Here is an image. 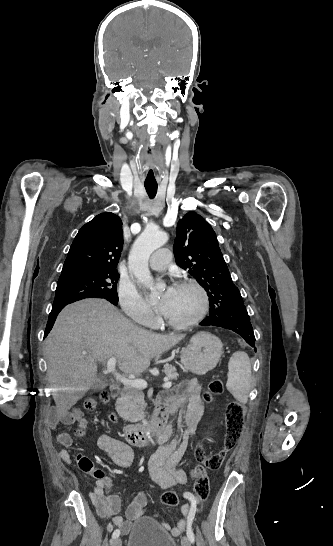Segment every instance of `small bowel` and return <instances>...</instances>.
I'll list each match as a JSON object with an SVG mask.
<instances>
[{"mask_svg":"<svg viewBox=\"0 0 333 546\" xmlns=\"http://www.w3.org/2000/svg\"><path fill=\"white\" fill-rule=\"evenodd\" d=\"M238 344L241 346L243 343L240 341ZM201 392V382L198 379H191L179 384L174 393L161 394L157 399V415H162L167 419L180 410L177 436L171 439L172 423L169 422L165 435L158 440L161 447L149 463L151 479L162 488L186 483V474L178 468V463L192 442L195 427L204 411ZM58 421L66 424L77 421L84 429L88 426L79 410L52 416L51 425L55 426ZM57 441L62 446L58 451L60 459L67 464H71V455L67 451L73 444L71 436L65 432H59L57 433ZM98 446L117 466L129 468L132 465L134 452L127 443L110 435H103L98 439ZM75 460L82 471L90 473L96 478L90 499L98 515L101 518L112 517L113 524L119 527L123 533H127L131 522H136L143 516L148 503L146 493L141 491L134 497L126 509V519H124L122 516L117 515L120 511L121 502L118 496L108 491V480L103 477L100 471L95 470L92 461L88 457L77 454ZM191 477L194 478L192 472ZM185 497L189 501V504H184L181 507L185 519H181L174 527H171L162 518L158 519L162 527L174 536H179L185 531L187 520L191 516H195L197 512V501L194 495L187 492Z\"/></svg>","mask_w":333,"mask_h":546,"instance_id":"obj_1","label":"small bowel"}]
</instances>
